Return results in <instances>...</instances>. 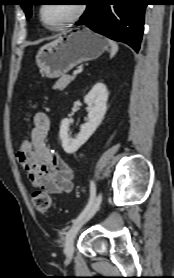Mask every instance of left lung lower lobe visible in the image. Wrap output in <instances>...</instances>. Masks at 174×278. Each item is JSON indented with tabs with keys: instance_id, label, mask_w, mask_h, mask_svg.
Here are the masks:
<instances>
[{
	"instance_id": "left-lung-lower-lobe-1",
	"label": "left lung lower lobe",
	"mask_w": 174,
	"mask_h": 278,
	"mask_svg": "<svg viewBox=\"0 0 174 278\" xmlns=\"http://www.w3.org/2000/svg\"><path fill=\"white\" fill-rule=\"evenodd\" d=\"M85 5L76 26H87L139 51L147 0H86Z\"/></svg>"
}]
</instances>
